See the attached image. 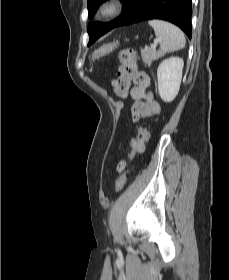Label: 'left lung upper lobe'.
I'll list each match as a JSON object with an SVG mask.
<instances>
[{"mask_svg":"<svg viewBox=\"0 0 229 280\" xmlns=\"http://www.w3.org/2000/svg\"><path fill=\"white\" fill-rule=\"evenodd\" d=\"M104 1L106 0H88L87 6H88L89 18H92L95 15L99 5ZM121 1L124 3L123 14L121 17H119L118 19L110 23H104V24L99 22L89 23L88 25V34L90 37L88 43L89 45L94 43L97 38H99L103 34L113 29L116 26V24L122 19V17L128 12V10L130 9L131 5L135 0H121Z\"/></svg>","mask_w":229,"mask_h":280,"instance_id":"1","label":"left lung upper lobe"}]
</instances>
